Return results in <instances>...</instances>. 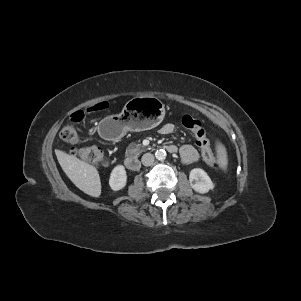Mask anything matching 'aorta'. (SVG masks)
Returning <instances> with one entry per match:
<instances>
[{
    "label": "aorta",
    "mask_w": 301,
    "mask_h": 301,
    "mask_svg": "<svg viewBox=\"0 0 301 301\" xmlns=\"http://www.w3.org/2000/svg\"><path fill=\"white\" fill-rule=\"evenodd\" d=\"M166 151L164 149H159L155 152V157L158 159V160H164L166 158Z\"/></svg>",
    "instance_id": "aorta-1"
}]
</instances>
